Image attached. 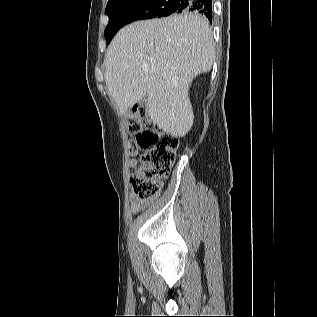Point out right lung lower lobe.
Wrapping results in <instances>:
<instances>
[{"label":"right lung lower lobe","instance_id":"right-lung-lower-lobe-1","mask_svg":"<svg viewBox=\"0 0 317 317\" xmlns=\"http://www.w3.org/2000/svg\"><path fill=\"white\" fill-rule=\"evenodd\" d=\"M174 5L177 13L183 11L200 13L207 17L211 22L212 17V0H175Z\"/></svg>","mask_w":317,"mask_h":317}]
</instances>
